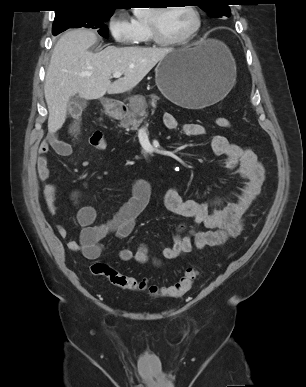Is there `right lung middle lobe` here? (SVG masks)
I'll use <instances>...</instances> for the list:
<instances>
[{
    "label": "right lung middle lobe",
    "mask_w": 306,
    "mask_h": 387,
    "mask_svg": "<svg viewBox=\"0 0 306 387\" xmlns=\"http://www.w3.org/2000/svg\"><path fill=\"white\" fill-rule=\"evenodd\" d=\"M112 9H70L55 15L52 33L57 35L68 28H92L108 38V28L105 24L113 14Z\"/></svg>",
    "instance_id": "obj_1"
}]
</instances>
